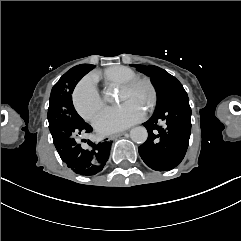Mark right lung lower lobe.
Listing matches in <instances>:
<instances>
[{"mask_svg": "<svg viewBox=\"0 0 241 241\" xmlns=\"http://www.w3.org/2000/svg\"><path fill=\"white\" fill-rule=\"evenodd\" d=\"M79 67L72 81V87H75L80 79L93 69L89 64H81ZM92 130L88 123L82 122L71 129H65L54 143L62 161L75 173L84 176L95 175L102 171L109 158L112 144L107 141L98 144L88 141L90 149H83L74 136Z\"/></svg>", "mask_w": 241, "mask_h": 241, "instance_id": "1", "label": "right lung lower lobe"}]
</instances>
